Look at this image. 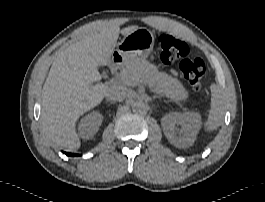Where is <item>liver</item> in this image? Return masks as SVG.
<instances>
[{
    "mask_svg": "<svg viewBox=\"0 0 265 202\" xmlns=\"http://www.w3.org/2000/svg\"><path fill=\"white\" fill-rule=\"evenodd\" d=\"M138 28L92 22L79 41L58 52L42 89L41 122L50 140L70 151L81 146L77 120L100 104L109 88L93 85L101 80L98 67L111 61L119 33L126 36Z\"/></svg>",
    "mask_w": 265,
    "mask_h": 202,
    "instance_id": "6515ba94",
    "label": "liver"
}]
</instances>
